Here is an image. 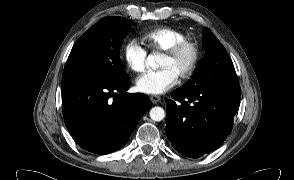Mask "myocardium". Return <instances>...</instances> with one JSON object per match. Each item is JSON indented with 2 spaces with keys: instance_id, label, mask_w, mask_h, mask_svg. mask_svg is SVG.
<instances>
[{
  "instance_id": "f54148a6",
  "label": "myocardium",
  "mask_w": 294,
  "mask_h": 180,
  "mask_svg": "<svg viewBox=\"0 0 294 180\" xmlns=\"http://www.w3.org/2000/svg\"><path fill=\"white\" fill-rule=\"evenodd\" d=\"M189 49L191 51V62L187 69L179 76L180 79L185 80L190 78L196 71L200 60V49L198 45L190 40H181L172 45L169 49L163 52V55L174 58L182 51Z\"/></svg>"
}]
</instances>
